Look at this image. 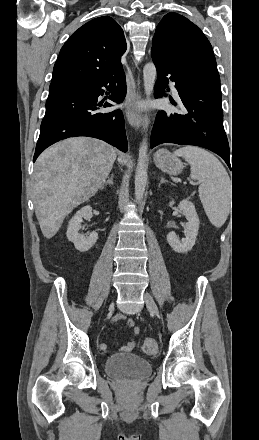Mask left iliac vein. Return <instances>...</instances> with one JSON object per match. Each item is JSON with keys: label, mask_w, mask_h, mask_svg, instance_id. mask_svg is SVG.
Returning a JSON list of instances; mask_svg holds the SVG:
<instances>
[{"label": "left iliac vein", "mask_w": 259, "mask_h": 440, "mask_svg": "<svg viewBox=\"0 0 259 440\" xmlns=\"http://www.w3.org/2000/svg\"><path fill=\"white\" fill-rule=\"evenodd\" d=\"M144 300L149 310L152 311L156 316H159L158 307L153 300V297L148 292L144 293Z\"/></svg>", "instance_id": "left-iliac-vein-1"}]
</instances>
